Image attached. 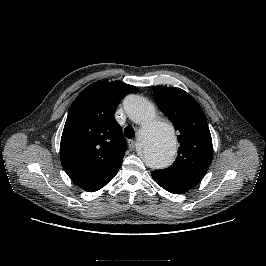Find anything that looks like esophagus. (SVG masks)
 <instances>
[{"instance_id":"34e87169","label":"esophagus","mask_w":266,"mask_h":266,"mask_svg":"<svg viewBox=\"0 0 266 266\" xmlns=\"http://www.w3.org/2000/svg\"><path fill=\"white\" fill-rule=\"evenodd\" d=\"M128 146H129L130 149H134L135 141L134 140H128Z\"/></svg>"}]
</instances>
